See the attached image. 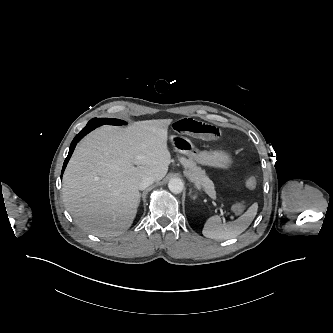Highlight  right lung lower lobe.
Instances as JSON below:
<instances>
[{
    "label": "right lung lower lobe",
    "mask_w": 333,
    "mask_h": 333,
    "mask_svg": "<svg viewBox=\"0 0 333 333\" xmlns=\"http://www.w3.org/2000/svg\"><path fill=\"white\" fill-rule=\"evenodd\" d=\"M98 126H101V124L99 122H94L92 120H90L87 124V126L85 128H83L76 136L75 138L73 139L71 145H70V149H69V153H68V156L67 158L65 159L64 161V165H63V168H62V173L73 153V150L76 146V144L78 143V141L84 136L86 135L87 133H89L90 131H92L93 129H95L96 127Z\"/></svg>",
    "instance_id": "obj_1"
}]
</instances>
